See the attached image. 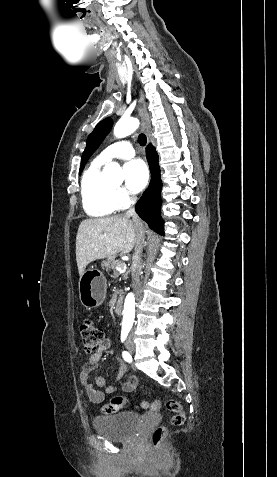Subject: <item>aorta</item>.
Listing matches in <instances>:
<instances>
[{
  "mask_svg": "<svg viewBox=\"0 0 277 477\" xmlns=\"http://www.w3.org/2000/svg\"><path fill=\"white\" fill-rule=\"evenodd\" d=\"M139 126V120L136 118H122L114 127V135L117 138H123L133 133ZM103 173L110 180L122 182L124 175L120 165L116 162L106 164ZM135 318V298L132 293H129L125 298L122 327L129 328L132 326Z\"/></svg>",
  "mask_w": 277,
  "mask_h": 477,
  "instance_id": "aorta-1",
  "label": "aorta"
}]
</instances>
